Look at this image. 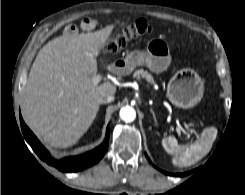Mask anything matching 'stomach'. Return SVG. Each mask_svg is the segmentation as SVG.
<instances>
[{
	"instance_id": "0dacf381",
	"label": "stomach",
	"mask_w": 245,
	"mask_h": 195,
	"mask_svg": "<svg viewBox=\"0 0 245 195\" xmlns=\"http://www.w3.org/2000/svg\"><path fill=\"white\" fill-rule=\"evenodd\" d=\"M170 62L169 47L162 40H153L147 50H133L124 59L112 64L118 75H128L136 67L145 65L151 71L160 73ZM204 83L200 76L190 68H183L175 73L167 85V97L180 108H191L203 97Z\"/></svg>"
}]
</instances>
